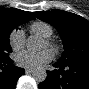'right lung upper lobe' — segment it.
I'll use <instances>...</instances> for the list:
<instances>
[{"instance_id":"cb5924a9","label":"right lung upper lobe","mask_w":89,"mask_h":89,"mask_svg":"<svg viewBox=\"0 0 89 89\" xmlns=\"http://www.w3.org/2000/svg\"><path fill=\"white\" fill-rule=\"evenodd\" d=\"M0 18H8L20 24H23L30 20L35 19V17L33 16V13L22 11L15 8L5 9L2 7H0Z\"/></svg>"}]
</instances>
